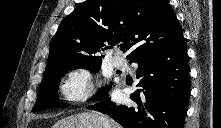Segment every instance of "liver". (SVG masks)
<instances>
[{"instance_id": "6515ba94", "label": "liver", "mask_w": 221, "mask_h": 128, "mask_svg": "<svg viewBox=\"0 0 221 128\" xmlns=\"http://www.w3.org/2000/svg\"><path fill=\"white\" fill-rule=\"evenodd\" d=\"M101 117L104 116L95 112L79 113L59 120L52 128H104L103 122L100 120ZM104 118L108 122V128H121V126L113 120L107 117Z\"/></svg>"}]
</instances>
